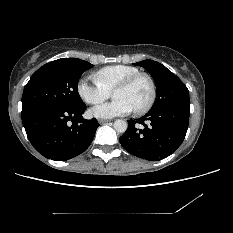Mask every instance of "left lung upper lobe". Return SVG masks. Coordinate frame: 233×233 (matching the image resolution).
<instances>
[{"label":"left lung upper lobe","instance_id":"5c2ea615","mask_svg":"<svg viewBox=\"0 0 233 233\" xmlns=\"http://www.w3.org/2000/svg\"><path fill=\"white\" fill-rule=\"evenodd\" d=\"M134 65L145 68L155 81L157 97L151 110L190 102L189 91L185 84L164 65L149 59Z\"/></svg>","mask_w":233,"mask_h":233}]
</instances>
